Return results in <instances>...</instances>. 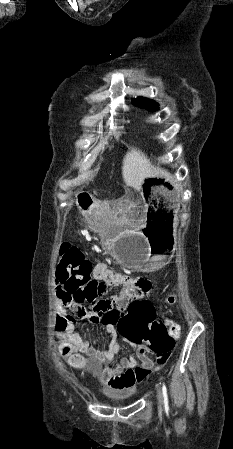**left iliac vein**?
<instances>
[{
	"instance_id": "left-iliac-vein-1",
	"label": "left iliac vein",
	"mask_w": 233,
	"mask_h": 449,
	"mask_svg": "<svg viewBox=\"0 0 233 449\" xmlns=\"http://www.w3.org/2000/svg\"><path fill=\"white\" fill-rule=\"evenodd\" d=\"M157 397H158L159 407L163 408V406H164V397H163V392H162V390L160 388L157 391Z\"/></svg>"
}]
</instances>
